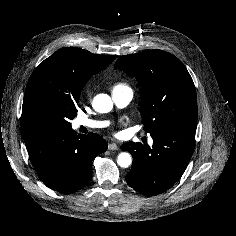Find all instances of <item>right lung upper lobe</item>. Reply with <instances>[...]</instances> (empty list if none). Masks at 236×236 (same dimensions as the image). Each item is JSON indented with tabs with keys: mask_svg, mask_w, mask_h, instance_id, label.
I'll use <instances>...</instances> for the list:
<instances>
[{
	"mask_svg": "<svg viewBox=\"0 0 236 236\" xmlns=\"http://www.w3.org/2000/svg\"><path fill=\"white\" fill-rule=\"evenodd\" d=\"M114 59L113 55L101 56L80 48H62L37 66L29 78L24 97L37 84L54 88L72 97H80L81 90L90 77L104 70ZM22 136L25 139L30 135Z\"/></svg>",
	"mask_w": 236,
	"mask_h": 236,
	"instance_id": "right-lung-upper-lobe-1",
	"label": "right lung upper lobe"
}]
</instances>
